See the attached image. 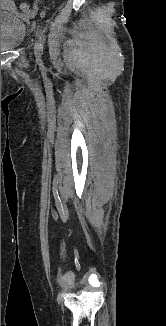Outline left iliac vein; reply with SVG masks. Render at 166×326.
I'll return each mask as SVG.
<instances>
[{
    "instance_id": "4c4485c4",
    "label": "left iliac vein",
    "mask_w": 166,
    "mask_h": 326,
    "mask_svg": "<svg viewBox=\"0 0 166 326\" xmlns=\"http://www.w3.org/2000/svg\"><path fill=\"white\" fill-rule=\"evenodd\" d=\"M34 52L37 58H40L42 55V47L38 41L34 44Z\"/></svg>"
}]
</instances>
